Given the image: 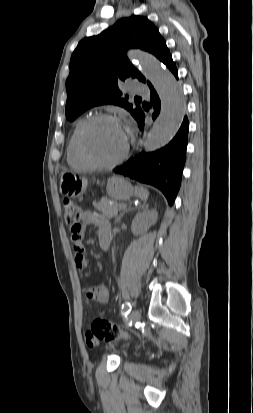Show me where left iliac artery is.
Masks as SVG:
<instances>
[{
  "instance_id": "obj_1",
  "label": "left iliac artery",
  "mask_w": 253,
  "mask_h": 413,
  "mask_svg": "<svg viewBox=\"0 0 253 413\" xmlns=\"http://www.w3.org/2000/svg\"><path fill=\"white\" fill-rule=\"evenodd\" d=\"M132 309V305L130 302H126L122 305V310H121V314L122 315H127Z\"/></svg>"
}]
</instances>
